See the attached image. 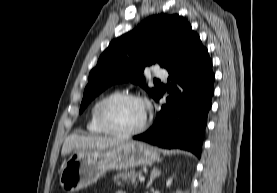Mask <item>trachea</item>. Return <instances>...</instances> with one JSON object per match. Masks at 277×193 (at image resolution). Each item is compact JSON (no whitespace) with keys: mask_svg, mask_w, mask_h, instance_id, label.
I'll list each match as a JSON object with an SVG mask.
<instances>
[{"mask_svg":"<svg viewBox=\"0 0 277 193\" xmlns=\"http://www.w3.org/2000/svg\"><path fill=\"white\" fill-rule=\"evenodd\" d=\"M155 82H160L159 80H156Z\"/></svg>","mask_w":277,"mask_h":193,"instance_id":"3493384b","label":"trachea"}]
</instances>
